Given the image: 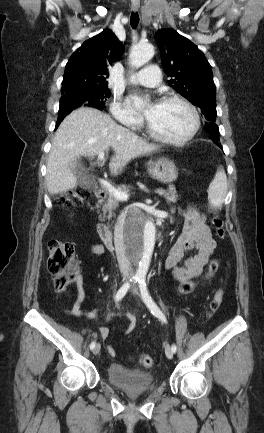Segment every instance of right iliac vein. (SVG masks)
Segmentation results:
<instances>
[{"label":"right iliac vein","mask_w":264,"mask_h":433,"mask_svg":"<svg viewBox=\"0 0 264 433\" xmlns=\"http://www.w3.org/2000/svg\"><path fill=\"white\" fill-rule=\"evenodd\" d=\"M100 348H101L100 344L97 343V344L95 345L94 349H93V354H94V355H98L99 352H100Z\"/></svg>","instance_id":"obj_1"}]
</instances>
